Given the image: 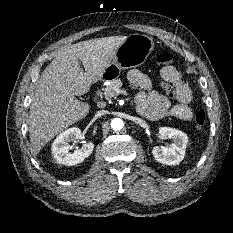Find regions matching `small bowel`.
Returning <instances> with one entry per match:
<instances>
[{
  "mask_svg": "<svg viewBox=\"0 0 233 233\" xmlns=\"http://www.w3.org/2000/svg\"><path fill=\"white\" fill-rule=\"evenodd\" d=\"M128 80L133 87L139 89L135 97L138 111L144 117L151 120H158L166 117H174L183 121H190L193 118V111L189 107L192 93L189 85L180 78L174 86H165L167 89L173 88L176 92V104H171L170 100L157 92L152 87L150 78L137 69L128 72Z\"/></svg>",
  "mask_w": 233,
  "mask_h": 233,
  "instance_id": "obj_1",
  "label": "small bowel"
}]
</instances>
